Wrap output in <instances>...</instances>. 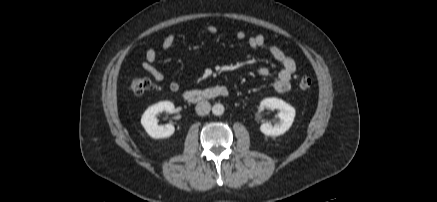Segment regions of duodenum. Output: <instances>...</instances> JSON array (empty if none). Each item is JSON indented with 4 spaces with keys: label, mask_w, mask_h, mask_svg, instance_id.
<instances>
[{
    "label": "duodenum",
    "mask_w": 437,
    "mask_h": 202,
    "mask_svg": "<svg viewBox=\"0 0 437 202\" xmlns=\"http://www.w3.org/2000/svg\"><path fill=\"white\" fill-rule=\"evenodd\" d=\"M229 90L226 86L217 85L205 89H191L183 93V97L189 102H201L219 97H227Z\"/></svg>",
    "instance_id": "obj_1"
}]
</instances>
